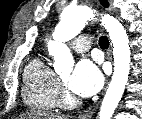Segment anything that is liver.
Instances as JSON below:
<instances>
[{"label":"liver","mask_w":142,"mask_h":119,"mask_svg":"<svg viewBox=\"0 0 142 119\" xmlns=\"http://www.w3.org/2000/svg\"><path fill=\"white\" fill-rule=\"evenodd\" d=\"M21 119H68V117L49 113L31 112L21 116Z\"/></svg>","instance_id":"6515ba94"}]
</instances>
